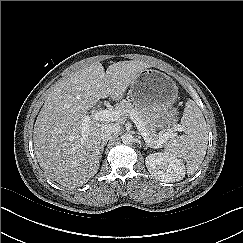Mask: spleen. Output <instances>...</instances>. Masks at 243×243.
Masks as SVG:
<instances>
[{"instance_id": "spleen-1", "label": "spleen", "mask_w": 243, "mask_h": 243, "mask_svg": "<svg viewBox=\"0 0 243 243\" xmlns=\"http://www.w3.org/2000/svg\"><path fill=\"white\" fill-rule=\"evenodd\" d=\"M181 123L184 134L170 140L163 154L184 159L187 173L192 175L199 169L208 147L206 121L193 100L186 102Z\"/></svg>"}]
</instances>
